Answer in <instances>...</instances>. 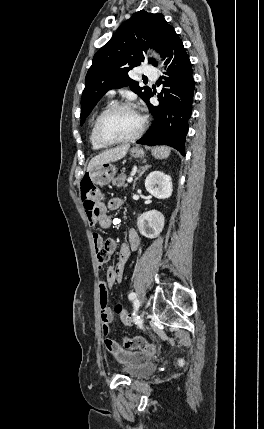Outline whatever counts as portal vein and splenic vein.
<instances>
[{"label": "portal vein and splenic vein", "instance_id": "1", "mask_svg": "<svg viewBox=\"0 0 264 429\" xmlns=\"http://www.w3.org/2000/svg\"><path fill=\"white\" fill-rule=\"evenodd\" d=\"M127 181H128V183H131V182L133 181V177H132V176H130V177L127 179Z\"/></svg>", "mask_w": 264, "mask_h": 429}]
</instances>
